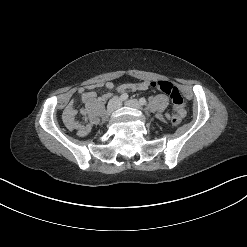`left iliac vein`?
Here are the masks:
<instances>
[{
  "instance_id": "left-iliac-vein-1",
  "label": "left iliac vein",
  "mask_w": 247,
  "mask_h": 247,
  "mask_svg": "<svg viewBox=\"0 0 247 247\" xmlns=\"http://www.w3.org/2000/svg\"><path fill=\"white\" fill-rule=\"evenodd\" d=\"M128 107L135 108L137 110H142L140 103L136 99H130L125 102Z\"/></svg>"
}]
</instances>
